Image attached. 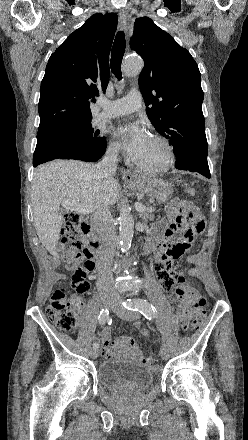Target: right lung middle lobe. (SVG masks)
Returning a JSON list of instances; mask_svg holds the SVG:
<instances>
[{
    "label": "right lung middle lobe",
    "instance_id": "right-lung-middle-lobe-1",
    "mask_svg": "<svg viewBox=\"0 0 248 440\" xmlns=\"http://www.w3.org/2000/svg\"><path fill=\"white\" fill-rule=\"evenodd\" d=\"M98 134L89 119L52 131H38L37 145H46L58 151H98L105 143V138Z\"/></svg>",
    "mask_w": 248,
    "mask_h": 440
}]
</instances>
